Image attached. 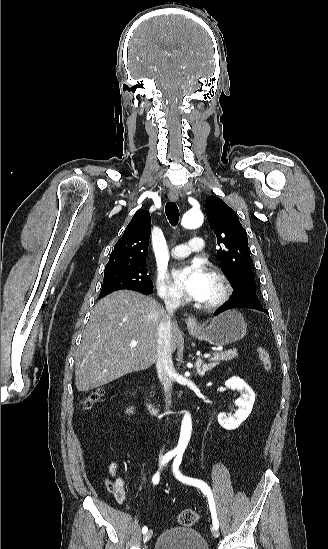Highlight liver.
<instances>
[{
    "mask_svg": "<svg viewBox=\"0 0 328 549\" xmlns=\"http://www.w3.org/2000/svg\"><path fill=\"white\" fill-rule=\"evenodd\" d=\"M167 313L152 297L135 291H116L98 301L91 311L75 357L78 391L107 385L123 375L144 371L157 359L160 325ZM172 351H176L179 327L170 321ZM131 341H137L131 347Z\"/></svg>",
    "mask_w": 328,
    "mask_h": 549,
    "instance_id": "obj_1",
    "label": "liver"
}]
</instances>
